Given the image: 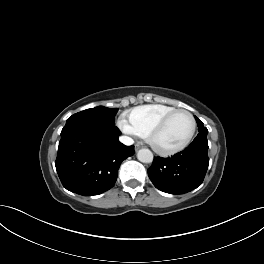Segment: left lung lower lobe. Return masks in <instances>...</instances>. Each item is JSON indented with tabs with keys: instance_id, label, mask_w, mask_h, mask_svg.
I'll return each mask as SVG.
<instances>
[{
	"instance_id": "left-lung-lower-lobe-1",
	"label": "left lung lower lobe",
	"mask_w": 264,
	"mask_h": 264,
	"mask_svg": "<svg viewBox=\"0 0 264 264\" xmlns=\"http://www.w3.org/2000/svg\"><path fill=\"white\" fill-rule=\"evenodd\" d=\"M208 165L207 138L196 137L185 150L172 157H154L148 175L157 189L184 194L201 185Z\"/></svg>"
}]
</instances>
